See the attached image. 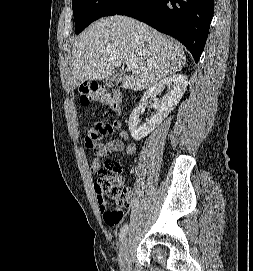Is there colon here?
Wrapping results in <instances>:
<instances>
[{
    "instance_id": "colon-1",
    "label": "colon",
    "mask_w": 253,
    "mask_h": 271,
    "mask_svg": "<svg viewBox=\"0 0 253 271\" xmlns=\"http://www.w3.org/2000/svg\"><path fill=\"white\" fill-rule=\"evenodd\" d=\"M92 101L109 104L115 111L121 108V95L118 91L107 89L96 83L81 85V104L88 105ZM119 173L120 165L116 161L107 160L104 166L99 168L95 183L100 202L103 205H109L102 208L104 220L111 227L117 226L122 221L124 208L131 196V191L119 179Z\"/></svg>"
}]
</instances>
